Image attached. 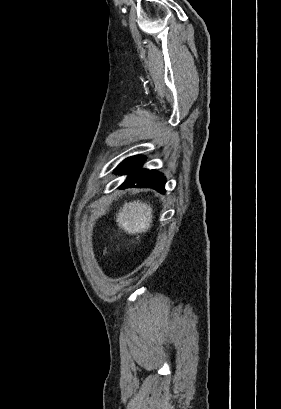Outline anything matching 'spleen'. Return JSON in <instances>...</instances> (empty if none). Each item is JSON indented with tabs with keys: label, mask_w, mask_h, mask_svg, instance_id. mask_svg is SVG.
<instances>
[{
	"label": "spleen",
	"mask_w": 281,
	"mask_h": 409,
	"mask_svg": "<svg viewBox=\"0 0 281 409\" xmlns=\"http://www.w3.org/2000/svg\"><path fill=\"white\" fill-rule=\"evenodd\" d=\"M153 219L151 205L141 200H133V202H125V205L120 207V211L116 213L115 223L128 235H140L151 229Z\"/></svg>",
	"instance_id": "obj_1"
}]
</instances>
